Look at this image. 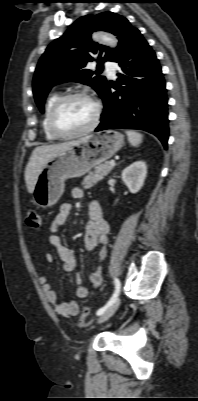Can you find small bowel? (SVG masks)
<instances>
[{
  "mask_svg": "<svg viewBox=\"0 0 198 401\" xmlns=\"http://www.w3.org/2000/svg\"><path fill=\"white\" fill-rule=\"evenodd\" d=\"M74 198H82L84 190L76 187L72 190ZM72 207L69 203H64L60 206L58 214L51 220L48 226V240L49 243L55 248L60 260L63 263V269L66 272H71L75 268V257L73 251L66 246L60 236L59 231L66 223ZM90 219L86 225L85 231V248L93 252L100 246L98 253V263L96 264L93 273L90 276V282L93 287H98L102 283L103 263L108 255V234L110 230L109 222L103 215L102 207L98 201L93 200L89 204ZM48 261L53 260L52 254H47ZM38 281L43 286L44 294L47 300L55 305L56 312L64 317L75 316L78 314L79 307L75 300L68 302L57 303V294L51 287L49 280L46 276L40 275ZM75 294L78 298L83 299L88 295V288L83 284L81 275L75 277ZM86 324V323H82Z\"/></svg>",
  "mask_w": 198,
  "mask_h": 401,
  "instance_id": "1",
  "label": "small bowel"
}]
</instances>
